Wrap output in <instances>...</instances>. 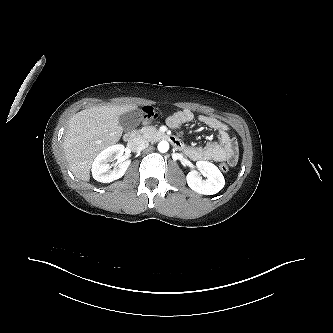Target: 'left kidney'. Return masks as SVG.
I'll return each mask as SVG.
<instances>
[{
	"label": "left kidney",
	"instance_id": "left-kidney-1",
	"mask_svg": "<svg viewBox=\"0 0 333 333\" xmlns=\"http://www.w3.org/2000/svg\"><path fill=\"white\" fill-rule=\"evenodd\" d=\"M198 171L206 173V179H202L200 173L193 170L187 174L188 186L199 194L212 195L218 193L225 185L224 176L214 164L208 161H197Z\"/></svg>",
	"mask_w": 333,
	"mask_h": 333
}]
</instances>
